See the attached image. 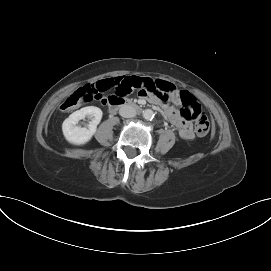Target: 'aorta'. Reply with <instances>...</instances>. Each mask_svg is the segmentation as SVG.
Wrapping results in <instances>:
<instances>
[{
    "instance_id": "762f6f07",
    "label": "aorta",
    "mask_w": 271,
    "mask_h": 271,
    "mask_svg": "<svg viewBox=\"0 0 271 271\" xmlns=\"http://www.w3.org/2000/svg\"><path fill=\"white\" fill-rule=\"evenodd\" d=\"M154 112L151 109H146L143 111V117L146 120H152L154 118Z\"/></svg>"
}]
</instances>
